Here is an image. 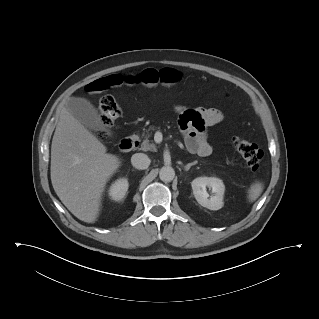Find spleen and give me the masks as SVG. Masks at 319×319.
Segmentation results:
<instances>
[{"mask_svg":"<svg viewBox=\"0 0 319 319\" xmlns=\"http://www.w3.org/2000/svg\"><path fill=\"white\" fill-rule=\"evenodd\" d=\"M263 191V184L256 182L252 184L248 190V199L250 202L255 201Z\"/></svg>","mask_w":319,"mask_h":319,"instance_id":"spleen-1","label":"spleen"}]
</instances>
